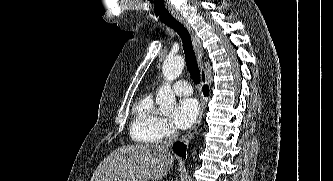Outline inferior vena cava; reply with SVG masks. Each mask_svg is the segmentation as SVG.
<instances>
[{
    "mask_svg": "<svg viewBox=\"0 0 333 181\" xmlns=\"http://www.w3.org/2000/svg\"><path fill=\"white\" fill-rule=\"evenodd\" d=\"M177 138H178V132L176 130V131H174L172 136L166 142H164V144L162 146L164 148L168 149V147L171 146L177 140Z\"/></svg>",
    "mask_w": 333,
    "mask_h": 181,
    "instance_id": "obj_1",
    "label": "inferior vena cava"
}]
</instances>
